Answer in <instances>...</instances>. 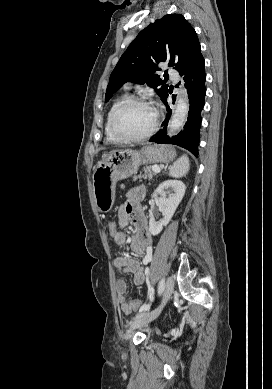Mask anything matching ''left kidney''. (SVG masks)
Wrapping results in <instances>:
<instances>
[{
	"label": "left kidney",
	"instance_id": "5707ae66",
	"mask_svg": "<svg viewBox=\"0 0 272 389\" xmlns=\"http://www.w3.org/2000/svg\"><path fill=\"white\" fill-rule=\"evenodd\" d=\"M168 190L171 191L172 194L167 197L166 191ZM185 190L186 187L182 181L167 180L161 183L154 191L152 198L160 195L157 206L163 215V219L159 222H156L155 219L150 216L149 231L153 236L158 235L162 231L163 227L167 226V224L170 222L185 194Z\"/></svg>",
	"mask_w": 272,
	"mask_h": 389
}]
</instances>
